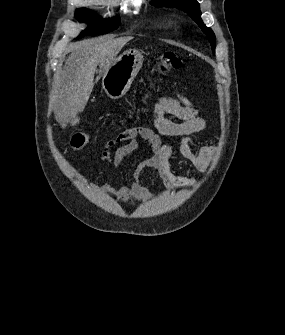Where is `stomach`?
Here are the masks:
<instances>
[{
    "label": "stomach",
    "mask_w": 285,
    "mask_h": 335,
    "mask_svg": "<svg viewBox=\"0 0 285 335\" xmlns=\"http://www.w3.org/2000/svg\"><path fill=\"white\" fill-rule=\"evenodd\" d=\"M142 64L143 56L138 50H126L121 56H117L103 74L102 86L105 94L112 100L122 98L128 92Z\"/></svg>",
    "instance_id": "stomach-1"
}]
</instances>
